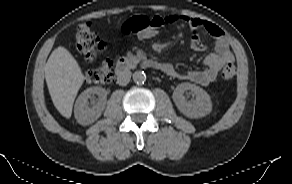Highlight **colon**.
I'll use <instances>...</instances> for the list:
<instances>
[{"mask_svg":"<svg viewBox=\"0 0 292 184\" xmlns=\"http://www.w3.org/2000/svg\"><path fill=\"white\" fill-rule=\"evenodd\" d=\"M161 24L155 17L135 16L128 19L122 27L125 34H137L145 40H152L159 36ZM75 46L79 53L90 61L105 48L104 42L97 36L90 23H82L75 34ZM113 62L103 60L97 67L88 70L85 74L86 81L93 84H106L113 81ZM236 75V68L232 63L225 65L221 71L224 80H231Z\"/></svg>","mask_w":292,"mask_h":184,"instance_id":"colon-1","label":"colon"}]
</instances>
